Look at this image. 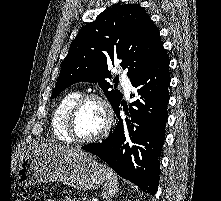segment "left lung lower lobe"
<instances>
[{"instance_id": "obj_1", "label": "left lung lower lobe", "mask_w": 221, "mask_h": 201, "mask_svg": "<svg viewBox=\"0 0 221 201\" xmlns=\"http://www.w3.org/2000/svg\"><path fill=\"white\" fill-rule=\"evenodd\" d=\"M170 80L169 58L165 53L144 74L131 81L136 88L131 98L137 99L129 109L121 101L114 107L118 122L108 138L82 147L151 195L156 193L159 183L158 158L165 138ZM120 105L126 110L125 121L119 115Z\"/></svg>"}]
</instances>
